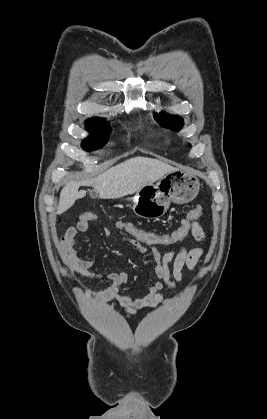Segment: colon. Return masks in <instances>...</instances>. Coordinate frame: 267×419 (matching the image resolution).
Segmentation results:
<instances>
[{
    "label": "colon",
    "instance_id": "obj_1",
    "mask_svg": "<svg viewBox=\"0 0 267 419\" xmlns=\"http://www.w3.org/2000/svg\"><path fill=\"white\" fill-rule=\"evenodd\" d=\"M202 216V208L196 207L188 212L180 226L169 233H157L135 225L132 222L119 221L116 228L124 236L123 240L130 245L141 244L147 247L161 248L168 247L182 242L191 230L193 222Z\"/></svg>",
    "mask_w": 267,
    "mask_h": 419
}]
</instances>
